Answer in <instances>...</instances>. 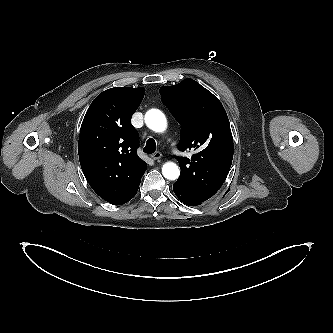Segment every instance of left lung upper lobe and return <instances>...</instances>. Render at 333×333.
I'll return each mask as SVG.
<instances>
[{
	"label": "left lung upper lobe",
	"instance_id": "left-lung-upper-lobe-1",
	"mask_svg": "<svg viewBox=\"0 0 333 333\" xmlns=\"http://www.w3.org/2000/svg\"><path fill=\"white\" fill-rule=\"evenodd\" d=\"M161 100L181 124V151L194 149L191 158L176 157L181 168L174 186L201 201L223 185L233 159V138L221 102L192 79L160 88Z\"/></svg>",
	"mask_w": 333,
	"mask_h": 333
}]
</instances>
